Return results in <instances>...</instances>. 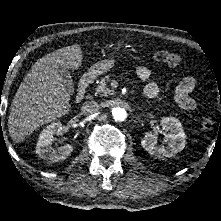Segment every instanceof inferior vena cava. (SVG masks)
<instances>
[{
	"instance_id": "602c4592",
	"label": "inferior vena cava",
	"mask_w": 221,
	"mask_h": 221,
	"mask_svg": "<svg viewBox=\"0 0 221 221\" xmlns=\"http://www.w3.org/2000/svg\"><path fill=\"white\" fill-rule=\"evenodd\" d=\"M99 109H100V106L96 101H87L81 107V112L83 114L90 115V114H94V113L98 112Z\"/></svg>"
}]
</instances>
